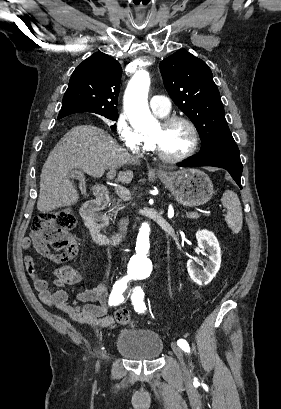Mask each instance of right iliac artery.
I'll return each instance as SVG.
<instances>
[{
    "mask_svg": "<svg viewBox=\"0 0 281 409\" xmlns=\"http://www.w3.org/2000/svg\"><path fill=\"white\" fill-rule=\"evenodd\" d=\"M130 279V276H124L116 281L109 298L110 306L119 305L128 299L130 295V289L127 283Z\"/></svg>",
    "mask_w": 281,
    "mask_h": 409,
    "instance_id": "1",
    "label": "right iliac artery"
}]
</instances>
